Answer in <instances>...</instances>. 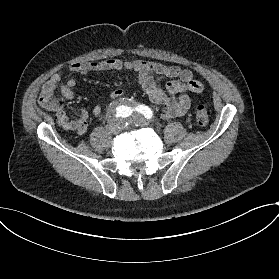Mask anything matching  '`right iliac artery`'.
Wrapping results in <instances>:
<instances>
[{
	"label": "right iliac artery",
	"instance_id": "right-iliac-artery-1",
	"mask_svg": "<svg viewBox=\"0 0 279 279\" xmlns=\"http://www.w3.org/2000/svg\"><path fill=\"white\" fill-rule=\"evenodd\" d=\"M129 111L126 107L121 106V107H115L111 110L110 115L113 119L118 120V119H124L128 116Z\"/></svg>",
	"mask_w": 279,
	"mask_h": 279
}]
</instances>
